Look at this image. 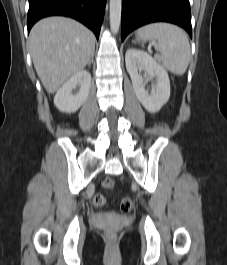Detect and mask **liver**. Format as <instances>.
<instances>
[{"mask_svg":"<svg viewBox=\"0 0 227 265\" xmlns=\"http://www.w3.org/2000/svg\"><path fill=\"white\" fill-rule=\"evenodd\" d=\"M28 42L35 70L48 93L58 91L83 70L95 50L93 33L66 17L40 20L31 29Z\"/></svg>","mask_w":227,"mask_h":265,"instance_id":"1","label":"liver"}]
</instances>
